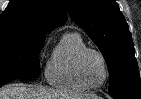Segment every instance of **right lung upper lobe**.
Segmentation results:
<instances>
[{"instance_id":"obj_1","label":"right lung upper lobe","mask_w":141,"mask_h":99,"mask_svg":"<svg viewBox=\"0 0 141 99\" xmlns=\"http://www.w3.org/2000/svg\"><path fill=\"white\" fill-rule=\"evenodd\" d=\"M67 20L63 0H11L0 15V35L20 34L45 39Z\"/></svg>"}]
</instances>
